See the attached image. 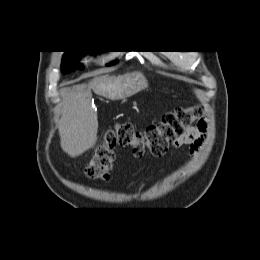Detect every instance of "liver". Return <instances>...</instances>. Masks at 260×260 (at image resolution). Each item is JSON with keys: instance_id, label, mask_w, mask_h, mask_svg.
<instances>
[{"instance_id": "6515ba94", "label": "liver", "mask_w": 260, "mask_h": 260, "mask_svg": "<svg viewBox=\"0 0 260 260\" xmlns=\"http://www.w3.org/2000/svg\"><path fill=\"white\" fill-rule=\"evenodd\" d=\"M117 81L118 78L103 75L93 79L91 88L96 94L112 99L111 89ZM91 97L90 91L70 92L60 104L61 148L73 158L92 148L97 140L98 119Z\"/></svg>"}]
</instances>
